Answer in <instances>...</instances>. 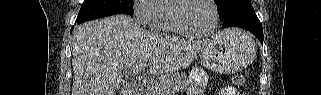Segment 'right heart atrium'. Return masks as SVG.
I'll list each match as a JSON object with an SVG mask.
<instances>
[{
  "mask_svg": "<svg viewBox=\"0 0 321 95\" xmlns=\"http://www.w3.org/2000/svg\"><path fill=\"white\" fill-rule=\"evenodd\" d=\"M157 0H138L133 5V15L135 20L142 25H147L151 21Z\"/></svg>",
  "mask_w": 321,
  "mask_h": 95,
  "instance_id": "obj_1",
  "label": "right heart atrium"
}]
</instances>
